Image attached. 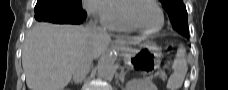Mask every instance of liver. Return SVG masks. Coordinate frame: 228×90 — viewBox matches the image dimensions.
Instances as JSON below:
<instances>
[{
  "label": "liver",
  "mask_w": 228,
  "mask_h": 90,
  "mask_svg": "<svg viewBox=\"0 0 228 90\" xmlns=\"http://www.w3.org/2000/svg\"><path fill=\"white\" fill-rule=\"evenodd\" d=\"M145 39L128 37L127 42L137 45ZM110 42L107 33L90 39L84 26L35 24L26 35L22 50V66L29 90H63L87 48L96 59Z\"/></svg>",
  "instance_id": "6515ba94"
}]
</instances>
